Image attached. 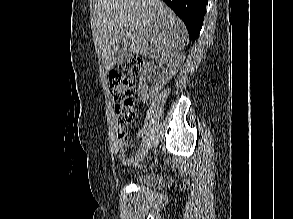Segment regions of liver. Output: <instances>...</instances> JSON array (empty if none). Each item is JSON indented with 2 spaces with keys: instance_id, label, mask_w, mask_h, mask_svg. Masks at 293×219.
<instances>
[{
  "instance_id": "6515ba94",
  "label": "liver",
  "mask_w": 293,
  "mask_h": 219,
  "mask_svg": "<svg viewBox=\"0 0 293 219\" xmlns=\"http://www.w3.org/2000/svg\"><path fill=\"white\" fill-rule=\"evenodd\" d=\"M94 16V45L106 71L116 63L122 37L129 38L134 54L148 58L171 55L186 39L184 24L161 0H96Z\"/></svg>"
}]
</instances>
